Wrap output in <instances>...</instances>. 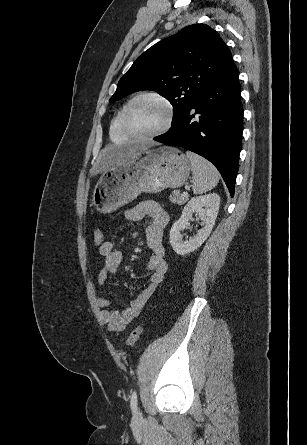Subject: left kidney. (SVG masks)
Masks as SVG:
<instances>
[{
    "label": "left kidney",
    "instance_id": "obj_1",
    "mask_svg": "<svg viewBox=\"0 0 307 445\" xmlns=\"http://www.w3.org/2000/svg\"><path fill=\"white\" fill-rule=\"evenodd\" d=\"M220 204V196L213 192V194H203V196H193L186 206L182 210V216L179 220H176L171 231H170V243L172 245L173 251L177 255H189L196 251L198 247L203 245L204 241L208 239L212 227L215 225L216 216L218 214ZM206 206V208H203ZM193 212H198L199 218L203 220V229L197 231V235L190 237L188 241H183L180 231H184L187 225H189L188 220L191 218Z\"/></svg>",
    "mask_w": 307,
    "mask_h": 445
}]
</instances>
